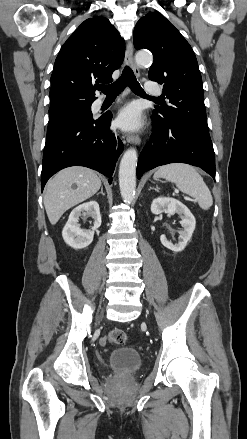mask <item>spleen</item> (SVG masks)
<instances>
[{
	"label": "spleen",
	"instance_id": "1",
	"mask_svg": "<svg viewBox=\"0 0 247 439\" xmlns=\"http://www.w3.org/2000/svg\"><path fill=\"white\" fill-rule=\"evenodd\" d=\"M154 178H164L174 182L178 189L197 200L202 210L213 204L210 190L194 167L184 163H171L158 168Z\"/></svg>",
	"mask_w": 247,
	"mask_h": 439
}]
</instances>
